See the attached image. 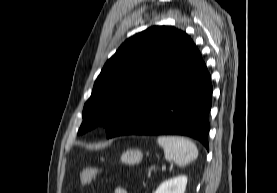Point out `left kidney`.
Segmentation results:
<instances>
[{"label": "left kidney", "instance_id": "left-kidney-1", "mask_svg": "<svg viewBox=\"0 0 277 193\" xmlns=\"http://www.w3.org/2000/svg\"><path fill=\"white\" fill-rule=\"evenodd\" d=\"M187 185V176H177L160 184L154 193H184Z\"/></svg>", "mask_w": 277, "mask_h": 193}]
</instances>
